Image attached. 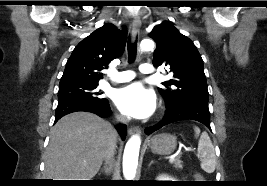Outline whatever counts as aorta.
Returning <instances> with one entry per match:
<instances>
[{
    "mask_svg": "<svg viewBox=\"0 0 267 186\" xmlns=\"http://www.w3.org/2000/svg\"><path fill=\"white\" fill-rule=\"evenodd\" d=\"M140 48L142 51L153 50L154 42L150 39H144L141 41ZM140 145L141 139L138 135H133L126 143L123 154V175L125 180H132L136 175Z\"/></svg>",
    "mask_w": 267,
    "mask_h": 186,
    "instance_id": "obj_1",
    "label": "aorta"
}]
</instances>
